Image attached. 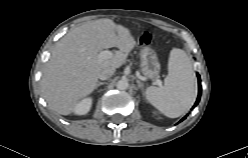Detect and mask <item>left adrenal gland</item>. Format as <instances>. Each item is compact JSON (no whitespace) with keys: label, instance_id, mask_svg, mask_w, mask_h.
Segmentation results:
<instances>
[{"label":"left adrenal gland","instance_id":"obj_1","mask_svg":"<svg viewBox=\"0 0 248 158\" xmlns=\"http://www.w3.org/2000/svg\"><path fill=\"white\" fill-rule=\"evenodd\" d=\"M136 82L138 84L137 88L143 90L144 89V84L138 79L136 80Z\"/></svg>","mask_w":248,"mask_h":158}]
</instances>
